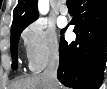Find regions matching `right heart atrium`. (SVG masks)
Listing matches in <instances>:
<instances>
[{
    "label": "right heart atrium",
    "instance_id": "right-heart-atrium-1",
    "mask_svg": "<svg viewBox=\"0 0 107 89\" xmlns=\"http://www.w3.org/2000/svg\"><path fill=\"white\" fill-rule=\"evenodd\" d=\"M28 66L39 72L59 54V41L53 27L38 20L28 25L22 33Z\"/></svg>",
    "mask_w": 107,
    "mask_h": 89
}]
</instances>
